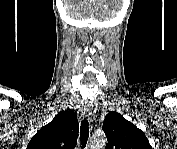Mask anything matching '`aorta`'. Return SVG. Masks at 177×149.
Listing matches in <instances>:
<instances>
[{
    "label": "aorta",
    "mask_w": 177,
    "mask_h": 149,
    "mask_svg": "<svg viewBox=\"0 0 177 149\" xmlns=\"http://www.w3.org/2000/svg\"><path fill=\"white\" fill-rule=\"evenodd\" d=\"M106 144V138L103 135H97L90 140V149H102Z\"/></svg>",
    "instance_id": "762f6f07"
}]
</instances>
